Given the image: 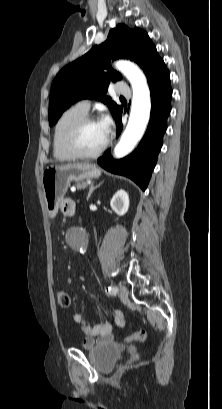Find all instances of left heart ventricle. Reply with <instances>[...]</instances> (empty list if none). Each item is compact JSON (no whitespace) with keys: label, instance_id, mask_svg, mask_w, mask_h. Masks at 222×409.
Returning a JSON list of instances; mask_svg holds the SVG:
<instances>
[{"label":"left heart ventricle","instance_id":"obj_1","mask_svg":"<svg viewBox=\"0 0 222 409\" xmlns=\"http://www.w3.org/2000/svg\"><path fill=\"white\" fill-rule=\"evenodd\" d=\"M106 137L99 122H93L84 127L78 138V145L83 152L93 153L99 150Z\"/></svg>","mask_w":222,"mask_h":409}]
</instances>
